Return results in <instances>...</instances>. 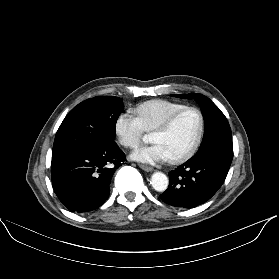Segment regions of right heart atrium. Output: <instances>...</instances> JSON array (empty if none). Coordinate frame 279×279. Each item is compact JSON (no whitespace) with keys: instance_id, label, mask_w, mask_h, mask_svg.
<instances>
[{"instance_id":"obj_1","label":"right heart atrium","mask_w":279,"mask_h":279,"mask_svg":"<svg viewBox=\"0 0 279 279\" xmlns=\"http://www.w3.org/2000/svg\"><path fill=\"white\" fill-rule=\"evenodd\" d=\"M114 131L118 141L126 148L137 147L145 132L137 116L129 111L122 112L117 117Z\"/></svg>"}]
</instances>
